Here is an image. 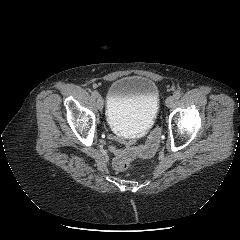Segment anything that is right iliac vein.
Returning <instances> with one entry per match:
<instances>
[{"instance_id":"1","label":"right iliac vein","mask_w":240,"mask_h":240,"mask_svg":"<svg viewBox=\"0 0 240 240\" xmlns=\"http://www.w3.org/2000/svg\"><path fill=\"white\" fill-rule=\"evenodd\" d=\"M103 106H104V100H103L102 97L99 96V97L97 98V107H98V109H99L100 111H102Z\"/></svg>"}]
</instances>
